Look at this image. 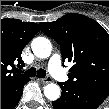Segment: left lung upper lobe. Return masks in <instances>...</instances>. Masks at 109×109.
Instances as JSON below:
<instances>
[{"label": "left lung upper lobe", "instance_id": "1", "mask_svg": "<svg viewBox=\"0 0 109 109\" xmlns=\"http://www.w3.org/2000/svg\"><path fill=\"white\" fill-rule=\"evenodd\" d=\"M39 25L60 44L63 61L74 62L68 81L108 95L109 34L93 19L77 13Z\"/></svg>", "mask_w": 109, "mask_h": 109}]
</instances>
